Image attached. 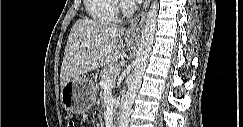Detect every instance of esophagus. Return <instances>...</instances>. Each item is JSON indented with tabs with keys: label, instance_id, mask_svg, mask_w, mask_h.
<instances>
[{
	"label": "esophagus",
	"instance_id": "34e87169",
	"mask_svg": "<svg viewBox=\"0 0 243 127\" xmlns=\"http://www.w3.org/2000/svg\"><path fill=\"white\" fill-rule=\"evenodd\" d=\"M150 0H145L140 12L136 15V17L131 21V25L128 29L129 34H137L140 32L147 13V9L149 7Z\"/></svg>",
	"mask_w": 243,
	"mask_h": 127
}]
</instances>
